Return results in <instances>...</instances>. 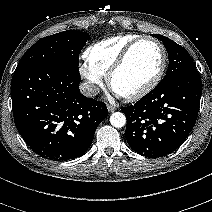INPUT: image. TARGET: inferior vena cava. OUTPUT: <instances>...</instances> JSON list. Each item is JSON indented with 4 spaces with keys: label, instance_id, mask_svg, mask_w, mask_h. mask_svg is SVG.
I'll return each instance as SVG.
<instances>
[{
    "label": "inferior vena cava",
    "instance_id": "inferior-vena-cava-1",
    "mask_svg": "<svg viewBox=\"0 0 212 212\" xmlns=\"http://www.w3.org/2000/svg\"><path fill=\"white\" fill-rule=\"evenodd\" d=\"M79 88H80V92L84 96L92 97L97 94V87L92 83L83 82L80 84Z\"/></svg>",
    "mask_w": 212,
    "mask_h": 212
}]
</instances>
